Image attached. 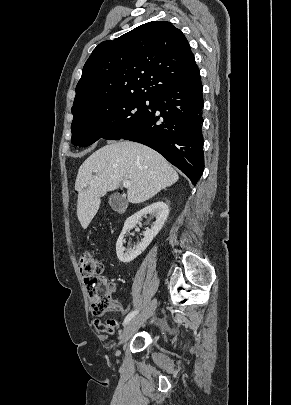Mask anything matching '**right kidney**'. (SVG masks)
I'll return each instance as SVG.
<instances>
[{
    "instance_id": "right-kidney-1",
    "label": "right kidney",
    "mask_w": 291,
    "mask_h": 405,
    "mask_svg": "<svg viewBox=\"0 0 291 405\" xmlns=\"http://www.w3.org/2000/svg\"><path fill=\"white\" fill-rule=\"evenodd\" d=\"M150 214L156 218L151 229H147L144 232V238L133 248L125 250L123 246L124 236L126 232L132 229L136 224H140L142 216ZM169 215L168 205L162 201L155 202L142 210L138 211L136 214L127 218L124 223L123 230L116 243V253L118 259L123 263H129L139 256L152 242L153 238L158 234V232L163 227L167 217Z\"/></svg>"
}]
</instances>
